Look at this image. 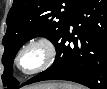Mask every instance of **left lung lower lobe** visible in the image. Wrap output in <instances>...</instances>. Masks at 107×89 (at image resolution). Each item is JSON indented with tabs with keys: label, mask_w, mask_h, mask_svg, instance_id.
Masks as SVG:
<instances>
[{
	"label": "left lung lower lobe",
	"mask_w": 107,
	"mask_h": 89,
	"mask_svg": "<svg viewBox=\"0 0 107 89\" xmlns=\"http://www.w3.org/2000/svg\"><path fill=\"white\" fill-rule=\"evenodd\" d=\"M53 44L57 53L52 66L21 86L68 80L91 89H106L107 0H82Z\"/></svg>",
	"instance_id": "0a47b994"
}]
</instances>
